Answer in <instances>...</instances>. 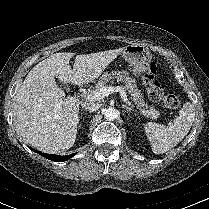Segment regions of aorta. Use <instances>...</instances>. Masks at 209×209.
<instances>
[{"mask_svg": "<svg viewBox=\"0 0 209 209\" xmlns=\"http://www.w3.org/2000/svg\"><path fill=\"white\" fill-rule=\"evenodd\" d=\"M104 115H105V118H106L107 120H114V119L117 118L118 112H117V110L114 109V108H108V109L105 110Z\"/></svg>", "mask_w": 209, "mask_h": 209, "instance_id": "762f6f07", "label": "aorta"}]
</instances>
